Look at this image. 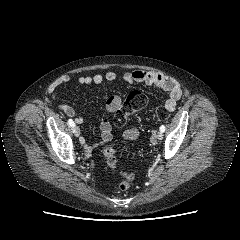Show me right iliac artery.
Here are the masks:
<instances>
[{
	"mask_svg": "<svg viewBox=\"0 0 240 240\" xmlns=\"http://www.w3.org/2000/svg\"><path fill=\"white\" fill-rule=\"evenodd\" d=\"M67 123H68V125H69L70 127H74V126H75V123H74L73 120H71V119H69Z\"/></svg>",
	"mask_w": 240,
	"mask_h": 240,
	"instance_id": "82829eb1",
	"label": "right iliac artery"
}]
</instances>
